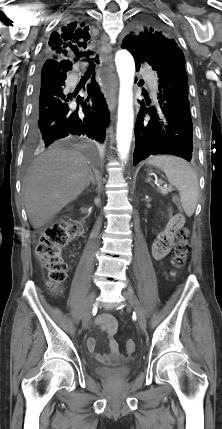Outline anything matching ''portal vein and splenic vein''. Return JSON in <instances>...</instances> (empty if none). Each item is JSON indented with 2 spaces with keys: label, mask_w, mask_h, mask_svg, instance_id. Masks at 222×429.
I'll use <instances>...</instances> for the list:
<instances>
[{
  "label": "portal vein and splenic vein",
  "mask_w": 222,
  "mask_h": 429,
  "mask_svg": "<svg viewBox=\"0 0 222 429\" xmlns=\"http://www.w3.org/2000/svg\"><path fill=\"white\" fill-rule=\"evenodd\" d=\"M162 183H163V182H162L161 180H158V185H159V184H162Z\"/></svg>",
  "instance_id": "portal-vein-and-splenic-vein-1"
}]
</instances>
